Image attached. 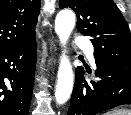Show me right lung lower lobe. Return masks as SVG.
Wrapping results in <instances>:
<instances>
[{
    "mask_svg": "<svg viewBox=\"0 0 131 115\" xmlns=\"http://www.w3.org/2000/svg\"><path fill=\"white\" fill-rule=\"evenodd\" d=\"M36 65V38L0 51V115H28Z\"/></svg>",
    "mask_w": 131,
    "mask_h": 115,
    "instance_id": "98d812e1",
    "label": "right lung lower lobe"
}]
</instances>
